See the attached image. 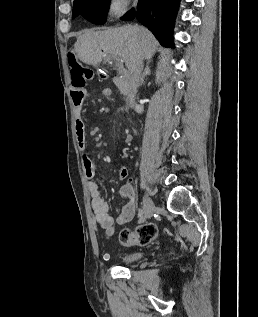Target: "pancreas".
<instances>
[{"instance_id": "cf45deb5", "label": "pancreas", "mask_w": 258, "mask_h": 317, "mask_svg": "<svg viewBox=\"0 0 258 317\" xmlns=\"http://www.w3.org/2000/svg\"><path fill=\"white\" fill-rule=\"evenodd\" d=\"M117 80H118V86H119V88H123V86H120V85H119V80H120V78H117Z\"/></svg>"}]
</instances>
